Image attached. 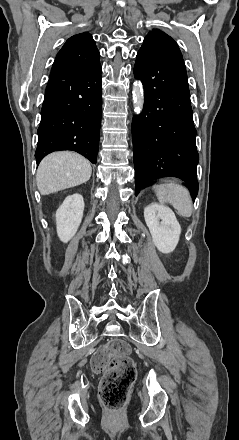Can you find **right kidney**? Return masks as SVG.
Listing matches in <instances>:
<instances>
[{
  "mask_svg": "<svg viewBox=\"0 0 239 440\" xmlns=\"http://www.w3.org/2000/svg\"><path fill=\"white\" fill-rule=\"evenodd\" d=\"M84 200L81 194L67 196L56 212L57 236L63 246H70L83 218Z\"/></svg>",
  "mask_w": 239,
  "mask_h": 440,
  "instance_id": "right-kidney-1",
  "label": "right kidney"
}]
</instances>
